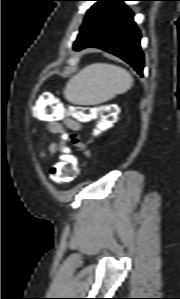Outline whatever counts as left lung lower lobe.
Wrapping results in <instances>:
<instances>
[{"mask_svg": "<svg viewBox=\"0 0 180 299\" xmlns=\"http://www.w3.org/2000/svg\"><path fill=\"white\" fill-rule=\"evenodd\" d=\"M88 11L73 48H100L129 63L142 75L144 58L141 34L133 13L124 4L128 0H96Z\"/></svg>", "mask_w": 180, "mask_h": 299, "instance_id": "left-lung-lower-lobe-1", "label": "left lung lower lobe"}]
</instances>
